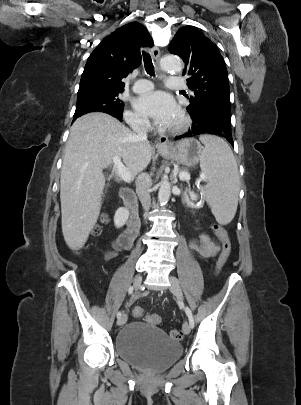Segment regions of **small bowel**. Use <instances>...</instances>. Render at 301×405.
I'll use <instances>...</instances> for the list:
<instances>
[{
	"label": "small bowel",
	"instance_id": "1",
	"mask_svg": "<svg viewBox=\"0 0 301 405\" xmlns=\"http://www.w3.org/2000/svg\"><path fill=\"white\" fill-rule=\"evenodd\" d=\"M190 247L205 258L215 257L220 251L219 244L205 233H201L198 236V240L190 242ZM124 248L125 247L122 245L121 239L119 237V239L112 244L111 250L106 253V259L110 260L116 257ZM135 298L136 296L132 298V301Z\"/></svg>",
	"mask_w": 301,
	"mask_h": 405
}]
</instances>
